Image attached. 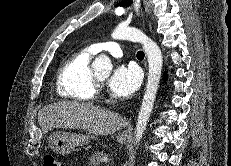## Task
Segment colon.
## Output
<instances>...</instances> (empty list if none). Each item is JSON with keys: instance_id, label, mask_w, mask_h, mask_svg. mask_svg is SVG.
Segmentation results:
<instances>
[{"instance_id": "5ec220e1", "label": "colon", "mask_w": 231, "mask_h": 166, "mask_svg": "<svg viewBox=\"0 0 231 166\" xmlns=\"http://www.w3.org/2000/svg\"><path fill=\"white\" fill-rule=\"evenodd\" d=\"M44 166H67L64 162L52 155H47L44 159Z\"/></svg>"}]
</instances>
